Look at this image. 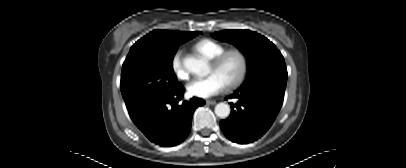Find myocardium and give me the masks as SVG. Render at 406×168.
I'll return each instance as SVG.
<instances>
[{"label":"myocardium","mask_w":406,"mask_h":168,"mask_svg":"<svg viewBox=\"0 0 406 168\" xmlns=\"http://www.w3.org/2000/svg\"><path fill=\"white\" fill-rule=\"evenodd\" d=\"M230 55H236L239 58L240 71H239L237 78L233 82L225 85V87L228 90L238 88L246 79L248 69H249L248 56H247L246 52L240 48H230V49L224 50L222 53L217 55L215 58L211 59L210 65L213 68H218L223 64V62L226 60V58Z\"/></svg>","instance_id":"f54148a6"}]
</instances>
